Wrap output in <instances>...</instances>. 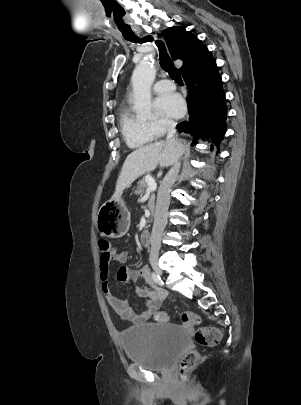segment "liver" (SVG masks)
I'll list each match as a JSON object with an SVG mask.
<instances>
[{"label": "liver", "mask_w": 301, "mask_h": 405, "mask_svg": "<svg viewBox=\"0 0 301 405\" xmlns=\"http://www.w3.org/2000/svg\"><path fill=\"white\" fill-rule=\"evenodd\" d=\"M183 152L182 142L173 141H159L134 150L127 156L122 166L112 199L119 197L137 178L154 171L158 165L171 166Z\"/></svg>", "instance_id": "1"}]
</instances>
